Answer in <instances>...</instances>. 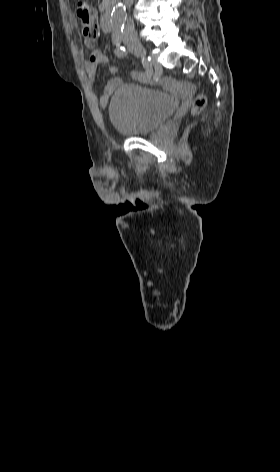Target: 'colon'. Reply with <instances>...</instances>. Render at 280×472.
<instances>
[{
  "label": "colon",
  "mask_w": 280,
  "mask_h": 472,
  "mask_svg": "<svg viewBox=\"0 0 280 472\" xmlns=\"http://www.w3.org/2000/svg\"><path fill=\"white\" fill-rule=\"evenodd\" d=\"M76 14L80 21L82 34L87 45L93 47L99 37V23L96 11L88 2L80 0L76 4ZM205 106V95L198 94L192 104V114H199Z\"/></svg>",
  "instance_id": "5ec220e1"
}]
</instances>
